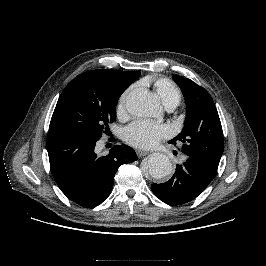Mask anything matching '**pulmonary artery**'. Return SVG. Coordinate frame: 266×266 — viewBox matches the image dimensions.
<instances>
[{
    "instance_id": "1",
    "label": "pulmonary artery",
    "mask_w": 266,
    "mask_h": 266,
    "mask_svg": "<svg viewBox=\"0 0 266 266\" xmlns=\"http://www.w3.org/2000/svg\"><path fill=\"white\" fill-rule=\"evenodd\" d=\"M168 110H172L174 106H166Z\"/></svg>"
}]
</instances>
